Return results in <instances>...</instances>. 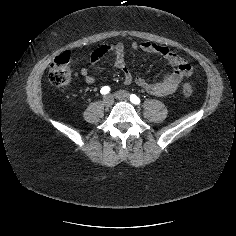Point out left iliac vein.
I'll return each mask as SVG.
<instances>
[{
	"label": "left iliac vein",
	"instance_id": "left-iliac-vein-1",
	"mask_svg": "<svg viewBox=\"0 0 236 236\" xmlns=\"http://www.w3.org/2000/svg\"><path fill=\"white\" fill-rule=\"evenodd\" d=\"M115 98L121 101H128L130 98V94L127 91L121 90V91H117L114 94Z\"/></svg>",
	"mask_w": 236,
	"mask_h": 236
}]
</instances>
